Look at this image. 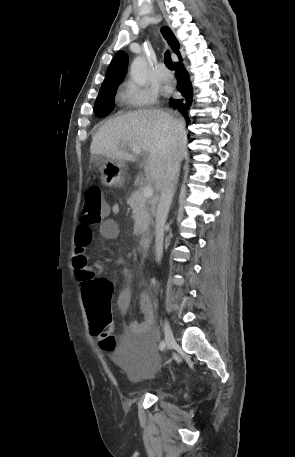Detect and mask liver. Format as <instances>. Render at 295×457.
Instances as JSON below:
<instances>
[{"mask_svg":"<svg viewBox=\"0 0 295 457\" xmlns=\"http://www.w3.org/2000/svg\"><path fill=\"white\" fill-rule=\"evenodd\" d=\"M120 144L134 145L148 153L144 171L157 191L168 160L177 154L180 160L187 155L183 121L157 109L129 112L107 121L92 138L90 152L93 156L135 161L136 156Z\"/></svg>","mask_w":295,"mask_h":457,"instance_id":"1","label":"liver"}]
</instances>
